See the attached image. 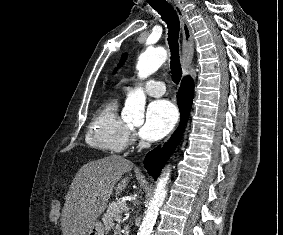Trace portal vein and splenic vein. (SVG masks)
Instances as JSON below:
<instances>
[{"mask_svg":"<svg viewBox=\"0 0 283 235\" xmlns=\"http://www.w3.org/2000/svg\"><path fill=\"white\" fill-rule=\"evenodd\" d=\"M117 222H119L121 220V217L120 216H117L116 219H115Z\"/></svg>","mask_w":283,"mask_h":235,"instance_id":"1","label":"portal vein and splenic vein"}]
</instances>
